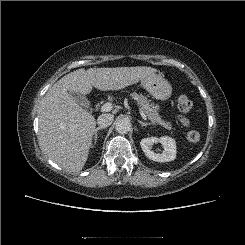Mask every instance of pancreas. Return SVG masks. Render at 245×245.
I'll use <instances>...</instances> for the list:
<instances>
[{
    "mask_svg": "<svg viewBox=\"0 0 245 245\" xmlns=\"http://www.w3.org/2000/svg\"><path fill=\"white\" fill-rule=\"evenodd\" d=\"M130 97L137 101L140 109L145 113L147 118L151 121V124H159L166 129L171 130L172 124L171 122L164 121L159 115V106L150 103V101L143 96L142 94H138L133 92L130 94Z\"/></svg>",
    "mask_w": 245,
    "mask_h": 245,
    "instance_id": "cf45deb5",
    "label": "pancreas"
}]
</instances>
